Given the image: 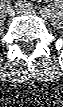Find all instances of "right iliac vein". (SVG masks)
I'll return each instance as SVG.
<instances>
[{"label": "right iliac vein", "instance_id": "63e3f726", "mask_svg": "<svg viewBox=\"0 0 63 107\" xmlns=\"http://www.w3.org/2000/svg\"><path fill=\"white\" fill-rule=\"evenodd\" d=\"M7 13L9 15V17H11V18L15 16V11H14V9L12 7H10L8 9Z\"/></svg>", "mask_w": 63, "mask_h": 107}]
</instances>
